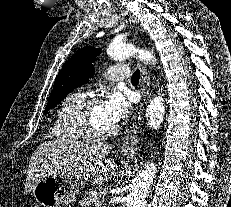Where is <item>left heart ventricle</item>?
Wrapping results in <instances>:
<instances>
[{"label":"left heart ventricle","mask_w":231,"mask_h":207,"mask_svg":"<svg viewBox=\"0 0 231 207\" xmlns=\"http://www.w3.org/2000/svg\"><path fill=\"white\" fill-rule=\"evenodd\" d=\"M90 119L93 127L100 132L110 130L115 126L105 114L102 103H98L92 108Z\"/></svg>","instance_id":"b2bd125f"}]
</instances>
